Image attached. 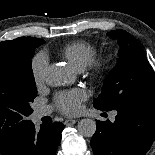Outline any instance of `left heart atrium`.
Listing matches in <instances>:
<instances>
[{"label":"left heart atrium","mask_w":155,"mask_h":155,"mask_svg":"<svg viewBox=\"0 0 155 155\" xmlns=\"http://www.w3.org/2000/svg\"><path fill=\"white\" fill-rule=\"evenodd\" d=\"M86 98L83 90L62 92L56 95L55 102L59 110L65 115H75L81 110V102Z\"/></svg>","instance_id":"left-heart-atrium-1"}]
</instances>
